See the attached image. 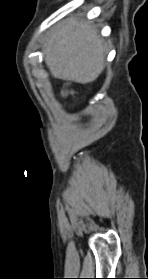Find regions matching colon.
Here are the masks:
<instances>
[{
	"mask_svg": "<svg viewBox=\"0 0 148 279\" xmlns=\"http://www.w3.org/2000/svg\"><path fill=\"white\" fill-rule=\"evenodd\" d=\"M70 92H71V89L68 84H64L60 90V94L62 96L68 95Z\"/></svg>",
	"mask_w": 148,
	"mask_h": 279,
	"instance_id": "colon-1",
	"label": "colon"
}]
</instances>
